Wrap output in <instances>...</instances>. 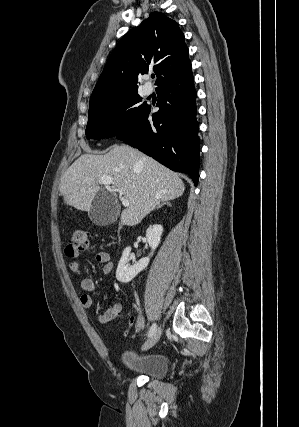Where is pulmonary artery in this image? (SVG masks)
<instances>
[{"mask_svg": "<svg viewBox=\"0 0 299 427\" xmlns=\"http://www.w3.org/2000/svg\"><path fill=\"white\" fill-rule=\"evenodd\" d=\"M144 92H145L146 95L152 94V92H153L152 86L146 84L145 87H144Z\"/></svg>", "mask_w": 299, "mask_h": 427, "instance_id": "pulmonary-artery-1", "label": "pulmonary artery"}]
</instances>
